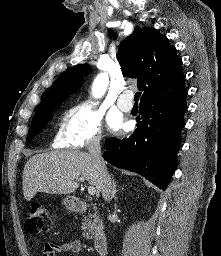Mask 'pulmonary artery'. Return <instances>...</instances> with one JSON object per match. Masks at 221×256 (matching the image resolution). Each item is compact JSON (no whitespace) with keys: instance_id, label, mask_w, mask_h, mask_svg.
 <instances>
[{"instance_id":"pulmonary-artery-1","label":"pulmonary artery","mask_w":221,"mask_h":256,"mask_svg":"<svg viewBox=\"0 0 221 256\" xmlns=\"http://www.w3.org/2000/svg\"><path fill=\"white\" fill-rule=\"evenodd\" d=\"M132 97H133V93L131 91H124L118 97V100H117L118 107L124 112L130 111L133 107Z\"/></svg>"}]
</instances>
